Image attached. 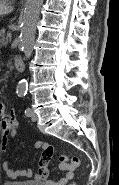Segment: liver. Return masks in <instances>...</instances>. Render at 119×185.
Segmentation results:
<instances>
[{"label": "liver", "mask_w": 119, "mask_h": 185, "mask_svg": "<svg viewBox=\"0 0 119 185\" xmlns=\"http://www.w3.org/2000/svg\"><path fill=\"white\" fill-rule=\"evenodd\" d=\"M11 11H12V8L0 0V15L9 14L11 13Z\"/></svg>", "instance_id": "1"}]
</instances>
